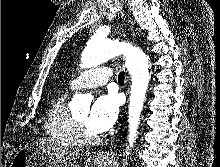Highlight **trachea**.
Instances as JSON below:
<instances>
[{"mask_svg": "<svg viewBox=\"0 0 220 167\" xmlns=\"http://www.w3.org/2000/svg\"><path fill=\"white\" fill-rule=\"evenodd\" d=\"M124 79H125V73H124V71H121V72L119 73V75H118V82H119L120 84H123V83H124Z\"/></svg>", "mask_w": 220, "mask_h": 167, "instance_id": "1", "label": "trachea"}]
</instances>
